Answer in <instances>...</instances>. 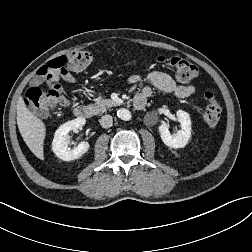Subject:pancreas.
Returning <instances> with one entry per match:
<instances>
[{"mask_svg":"<svg viewBox=\"0 0 252 252\" xmlns=\"http://www.w3.org/2000/svg\"><path fill=\"white\" fill-rule=\"evenodd\" d=\"M118 104L111 99H97L94 105L95 114H101L106 112L109 108L117 106Z\"/></svg>","mask_w":252,"mask_h":252,"instance_id":"obj_1","label":"pancreas"}]
</instances>
